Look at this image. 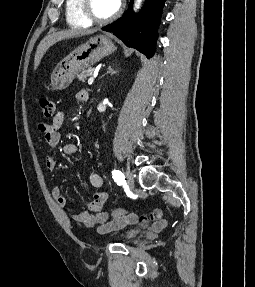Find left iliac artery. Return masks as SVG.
Segmentation results:
<instances>
[{
	"label": "left iliac artery",
	"mask_w": 255,
	"mask_h": 287,
	"mask_svg": "<svg viewBox=\"0 0 255 287\" xmlns=\"http://www.w3.org/2000/svg\"><path fill=\"white\" fill-rule=\"evenodd\" d=\"M112 176H113L114 181L118 185H122L125 182V177H124L123 173L119 170H113Z\"/></svg>",
	"instance_id": "1"
}]
</instances>
